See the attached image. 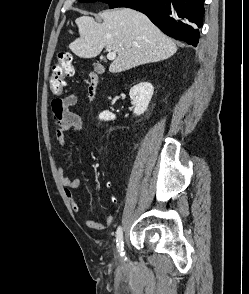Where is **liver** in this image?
I'll return each instance as SVG.
<instances>
[{"label": "liver", "mask_w": 249, "mask_h": 294, "mask_svg": "<svg viewBox=\"0 0 249 294\" xmlns=\"http://www.w3.org/2000/svg\"><path fill=\"white\" fill-rule=\"evenodd\" d=\"M83 14L75 21L80 37L69 44V49L85 59L98 56L104 47L115 51L117 57L110 64L111 73L162 61L177 51L176 44L138 11L128 8L103 11L102 23Z\"/></svg>", "instance_id": "liver-1"}]
</instances>
